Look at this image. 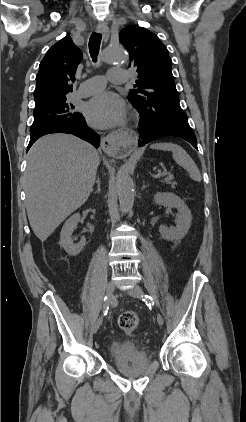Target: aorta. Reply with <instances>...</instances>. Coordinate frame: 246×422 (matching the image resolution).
<instances>
[{
  "instance_id": "aorta-1",
  "label": "aorta",
  "mask_w": 246,
  "mask_h": 422,
  "mask_svg": "<svg viewBox=\"0 0 246 422\" xmlns=\"http://www.w3.org/2000/svg\"><path fill=\"white\" fill-rule=\"evenodd\" d=\"M102 59L110 64L123 63L126 61L127 55L121 46H108L102 53ZM116 185L121 209L130 210L134 204V183L125 167L119 170Z\"/></svg>"
}]
</instances>
